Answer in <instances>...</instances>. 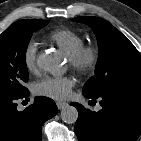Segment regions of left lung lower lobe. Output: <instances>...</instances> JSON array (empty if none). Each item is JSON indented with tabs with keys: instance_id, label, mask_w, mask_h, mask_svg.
Segmentation results:
<instances>
[{
	"instance_id": "left-lung-lower-lobe-1",
	"label": "left lung lower lobe",
	"mask_w": 141,
	"mask_h": 141,
	"mask_svg": "<svg viewBox=\"0 0 141 141\" xmlns=\"http://www.w3.org/2000/svg\"><path fill=\"white\" fill-rule=\"evenodd\" d=\"M102 109L92 112L78 103L75 132L79 141H136L141 134V94L110 91L98 97Z\"/></svg>"
}]
</instances>
